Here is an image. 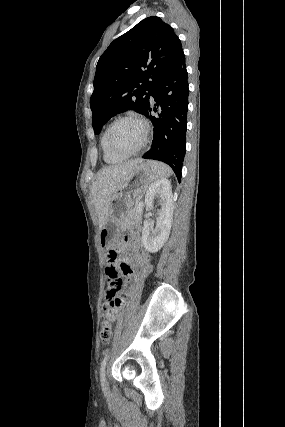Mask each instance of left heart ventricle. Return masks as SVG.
<instances>
[{
	"instance_id": "obj_1",
	"label": "left heart ventricle",
	"mask_w": 285,
	"mask_h": 427,
	"mask_svg": "<svg viewBox=\"0 0 285 427\" xmlns=\"http://www.w3.org/2000/svg\"><path fill=\"white\" fill-rule=\"evenodd\" d=\"M144 136L140 123L133 120L119 122L111 134L112 143L123 151H132L141 143Z\"/></svg>"
}]
</instances>
